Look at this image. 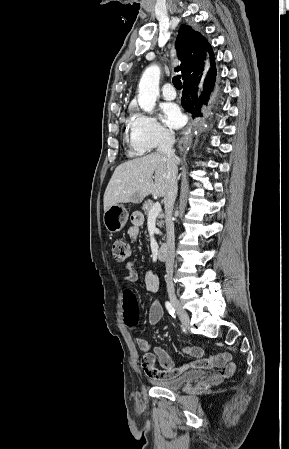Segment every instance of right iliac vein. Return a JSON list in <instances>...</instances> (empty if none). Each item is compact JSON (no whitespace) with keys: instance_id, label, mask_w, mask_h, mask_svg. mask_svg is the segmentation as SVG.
<instances>
[{"instance_id":"63e3f726","label":"right iliac vein","mask_w":289,"mask_h":449,"mask_svg":"<svg viewBox=\"0 0 289 449\" xmlns=\"http://www.w3.org/2000/svg\"><path fill=\"white\" fill-rule=\"evenodd\" d=\"M170 301H171L172 305L174 306V308L176 309L177 314H178L181 322L183 323V325L188 327L189 323H190L189 315L182 308L181 304L179 303V301L177 300V298L175 297L174 294H170Z\"/></svg>"}]
</instances>
